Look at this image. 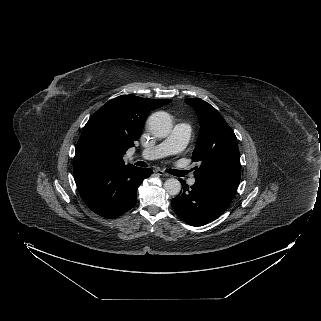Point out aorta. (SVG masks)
<instances>
[{
    "label": "aorta",
    "mask_w": 321,
    "mask_h": 321,
    "mask_svg": "<svg viewBox=\"0 0 321 321\" xmlns=\"http://www.w3.org/2000/svg\"><path fill=\"white\" fill-rule=\"evenodd\" d=\"M172 126L170 115L164 111L155 112L148 119L150 132L159 138L167 137ZM164 189L169 195H178L181 191V183L175 178H169L164 183Z\"/></svg>",
    "instance_id": "1"
}]
</instances>
